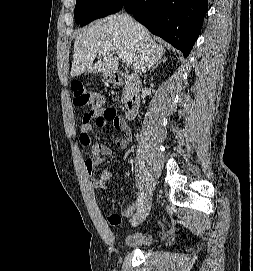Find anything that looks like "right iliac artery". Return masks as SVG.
<instances>
[{
	"instance_id": "right-iliac-artery-1",
	"label": "right iliac artery",
	"mask_w": 253,
	"mask_h": 271,
	"mask_svg": "<svg viewBox=\"0 0 253 271\" xmlns=\"http://www.w3.org/2000/svg\"><path fill=\"white\" fill-rule=\"evenodd\" d=\"M144 202V194L142 192L139 193L138 199H137V206L138 208L143 204Z\"/></svg>"
}]
</instances>
